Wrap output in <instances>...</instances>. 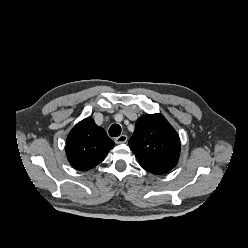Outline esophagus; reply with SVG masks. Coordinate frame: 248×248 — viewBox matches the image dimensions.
<instances>
[{"instance_id": "34e87169", "label": "esophagus", "mask_w": 248, "mask_h": 248, "mask_svg": "<svg viewBox=\"0 0 248 248\" xmlns=\"http://www.w3.org/2000/svg\"><path fill=\"white\" fill-rule=\"evenodd\" d=\"M127 136L126 135H120L114 139L116 144H121L127 142Z\"/></svg>"}]
</instances>
